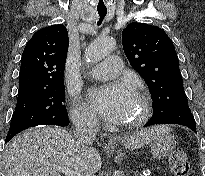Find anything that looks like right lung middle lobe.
I'll use <instances>...</instances> for the list:
<instances>
[{"label": "right lung middle lobe", "instance_id": "right-lung-middle-lobe-1", "mask_svg": "<svg viewBox=\"0 0 205 176\" xmlns=\"http://www.w3.org/2000/svg\"><path fill=\"white\" fill-rule=\"evenodd\" d=\"M64 98V84L18 94L6 141L22 130L37 125H68Z\"/></svg>", "mask_w": 205, "mask_h": 176}]
</instances>
